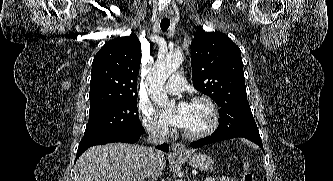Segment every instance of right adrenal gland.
Here are the masks:
<instances>
[{
    "mask_svg": "<svg viewBox=\"0 0 333 181\" xmlns=\"http://www.w3.org/2000/svg\"><path fill=\"white\" fill-rule=\"evenodd\" d=\"M148 181H154V179H152V180H148Z\"/></svg>",
    "mask_w": 333,
    "mask_h": 181,
    "instance_id": "1",
    "label": "right adrenal gland"
}]
</instances>
